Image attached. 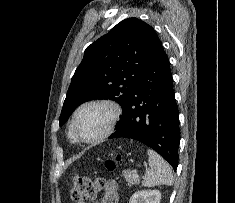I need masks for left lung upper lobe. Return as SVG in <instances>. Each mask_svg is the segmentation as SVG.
<instances>
[{
    "mask_svg": "<svg viewBox=\"0 0 235 203\" xmlns=\"http://www.w3.org/2000/svg\"><path fill=\"white\" fill-rule=\"evenodd\" d=\"M160 42L150 25L128 18L89 45L71 79L60 126L80 104L92 99L114 100L124 112Z\"/></svg>",
    "mask_w": 235,
    "mask_h": 203,
    "instance_id": "left-lung-upper-lobe-1",
    "label": "left lung upper lobe"
}]
</instances>
